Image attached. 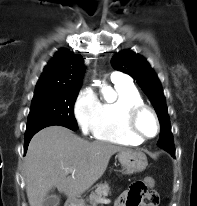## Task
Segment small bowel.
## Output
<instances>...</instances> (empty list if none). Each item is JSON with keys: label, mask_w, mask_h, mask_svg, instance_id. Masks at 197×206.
<instances>
[{"label": "small bowel", "mask_w": 197, "mask_h": 206, "mask_svg": "<svg viewBox=\"0 0 197 206\" xmlns=\"http://www.w3.org/2000/svg\"><path fill=\"white\" fill-rule=\"evenodd\" d=\"M128 194H129V191H125L120 196V198L117 200L115 206H129ZM148 197H149L150 200H149L148 203H143L144 206H157V202H158L157 194L155 192H151Z\"/></svg>", "instance_id": "c3829d8e"}]
</instances>
